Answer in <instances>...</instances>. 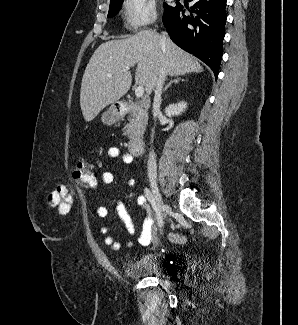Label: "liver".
<instances>
[{"label": "liver", "mask_w": 298, "mask_h": 325, "mask_svg": "<svg viewBox=\"0 0 298 325\" xmlns=\"http://www.w3.org/2000/svg\"><path fill=\"white\" fill-rule=\"evenodd\" d=\"M163 60L169 76L203 70L195 56L156 30H140L129 38L102 42L93 52L82 76L80 106L85 120H93L100 110L117 102L130 90L131 70L123 72V68L137 64L136 84L144 86L147 94H151Z\"/></svg>", "instance_id": "6515ba94"}]
</instances>
